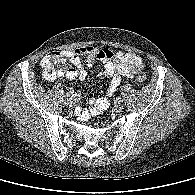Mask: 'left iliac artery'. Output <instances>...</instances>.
I'll return each instance as SVG.
<instances>
[{
  "label": "left iliac artery",
  "instance_id": "1",
  "mask_svg": "<svg viewBox=\"0 0 195 195\" xmlns=\"http://www.w3.org/2000/svg\"><path fill=\"white\" fill-rule=\"evenodd\" d=\"M121 99H122L121 97H118L117 98V101L121 102L122 101Z\"/></svg>",
  "mask_w": 195,
  "mask_h": 195
}]
</instances>
